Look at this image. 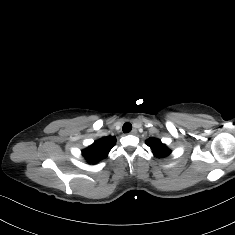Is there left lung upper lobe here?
Returning a JSON list of instances; mask_svg holds the SVG:
<instances>
[{
  "mask_svg": "<svg viewBox=\"0 0 235 235\" xmlns=\"http://www.w3.org/2000/svg\"><path fill=\"white\" fill-rule=\"evenodd\" d=\"M146 144L151 148L154 155L158 158H163L171 153V150L157 138H149Z\"/></svg>",
  "mask_w": 235,
  "mask_h": 235,
  "instance_id": "obj_1",
  "label": "left lung upper lobe"
}]
</instances>
